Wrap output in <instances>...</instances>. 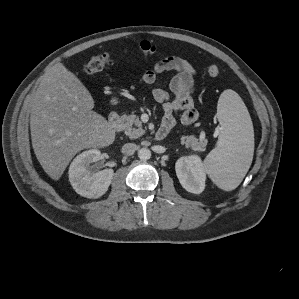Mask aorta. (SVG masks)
Returning a JSON list of instances; mask_svg holds the SVG:
<instances>
[{
	"label": "aorta",
	"mask_w": 299,
	"mask_h": 299,
	"mask_svg": "<svg viewBox=\"0 0 299 299\" xmlns=\"http://www.w3.org/2000/svg\"><path fill=\"white\" fill-rule=\"evenodd\" d=\"M138 157L141 160L146 161L151 158V151L148 148H141L138 151Z\"/></svg>",
	"instance_id": "obj_1"
}]
</instances>
